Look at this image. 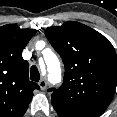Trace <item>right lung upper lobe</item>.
Instances as JSON below:
<instances>
[{
	"mask_svg": "<svg viewBox=\"0 0 117 117\" xmlns=\"http://www.w3.org/2000/svg\"><path fill=\"white\" fill-rule=\"evenodd\" d=\"M34 29L8 24L0 27V117H23L39 85L29 80L22 51Z\"/></svg>",
	"mask_w": 117,
	"mask_h": 117,
	"instance_id": "right-lung-upper-lobe-1",
	"label": "right lung upper lobe"
}]
</instances>
